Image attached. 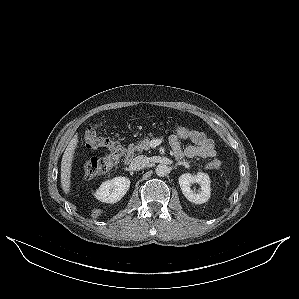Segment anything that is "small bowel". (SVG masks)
Wrapping results in <instances>:
<instances>
[{
	"mask_svg": "<svg viewBox=\"0 0 299 299\" xmlns=\"http://www.w3.org/2000/svg\"><path fill=\"white\" fill-rule=\"evenodd\" d=\"M192 145L183 147L181 144V139L172 135L170 137V144L175 153L179 158L187 157H203L212 158L216 157L217 151L215 149L214 141L209 138L205 133L199 132L198 136L191 140Z\"/></svg>",
	"mask_w": 299,
	"mask_h": 299,
	"instance_id": "small-bowel-1",
	"label": "small bowel"
}]
</instances>
